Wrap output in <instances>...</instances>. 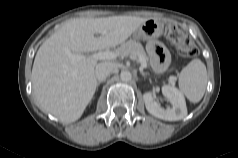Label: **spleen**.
Wrapping results in <instances>:
<instances>
[{"instance_id": "obj_1", "label": "spleen", "mask_w": 238, "mask_h": 158, "mask_svg": "<svg viewBox=\"0 0 238 158\" xmlns=\"http://www.w3.org/2000/svg\"><path fill=\"white\" fill-rule=\"evenodd\" d=\"M207 85V70L200 59L192 60L179 75V89L189 101L199 102L205 93Z\"/></svg>"}]
</instances>
